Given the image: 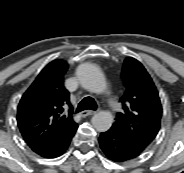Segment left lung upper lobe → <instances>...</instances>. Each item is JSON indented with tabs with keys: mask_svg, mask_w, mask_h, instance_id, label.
Wrapping results in <instances>:
<instances>
[{
	"mask_svg": "<svg viewBox=\"0 0 184 173\" xmlns=\"http://www.w3.org/2000/svg\"><path fill=\"white\" fill-rule=\"evenodd\" d=\"M122 74L126 87L120 99L123 112L117 114L112 128L143 152L159 131L161 102L151 77L139 61L126 58Z\"/></svg>",
	"mask_w": 184,
	"mask_h": 173,
	"instance_id": "obj_1",
	"label": "left lung upper lobe"
}]
</instances>
